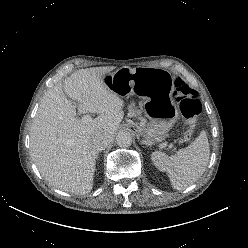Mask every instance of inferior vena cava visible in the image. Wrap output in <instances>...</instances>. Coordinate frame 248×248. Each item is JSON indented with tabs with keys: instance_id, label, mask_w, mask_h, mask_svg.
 <instances>
[{
	"instance_id": "1",
	"label": "inferior vena cava",
	"mask_w": 248,
	"mask_h": 248,
	"mask_svg": "<svg viewBox=\"0 0 248 248\" xmlns=\"http://www.w3.org/2000/svg\"><path fill=\"white\" fill-rule=\"evenodd\" d=\"M111 138L107 134H97L92 139V145L97 151L104 150L110 143Z\"/></svg>"
}]
</instances>
